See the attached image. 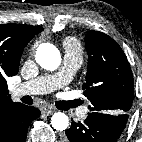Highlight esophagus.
Returning <instances> with one entry per match:
<instances>
[{"instance_id": "esophagus-1", "label": "esophagus", "mask_w": 142, "mask_h": 142, "mask_svg": "<svg viewBox=\"0 0 142 142\" xmlns=\"http://www.w3.org/2000/svg\"><path fill=\"white\" fill-rule=\"evenodd\" d=\"M54 111H55V109L52 107H44L42 109V113L46 114V115L52 114Z\"/></svg>"}]
</instances>
